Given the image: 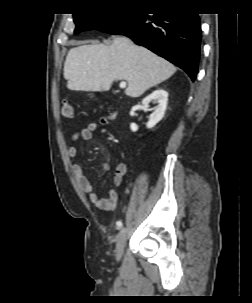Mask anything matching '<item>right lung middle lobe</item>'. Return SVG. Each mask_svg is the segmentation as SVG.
Listing matches in <instances>:
<instances>
[{
    "instance_id": "right-lung-middle-lobe-1",
    "label": "right lung middle lobe",
    "mask_w": 252,
    "mask_h": 303,
    "mask_svg": "<svg viewBox=\"0 0 252 303\" xmlns=\"http://www.w3.org/2000/svg\"><path fill=\"white\" fill-rule=\"evenodd\" d=\"M126 13H90V14H74V22L76 24L75 33L85 30H99L100 28L121 19Z\"/></svg>"
}]
</instances>
